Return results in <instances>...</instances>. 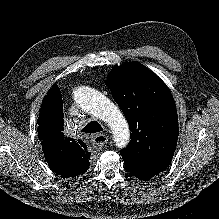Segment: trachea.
I'll return each mask as SVG.
<instances>
[{
    "mask_svg": "<svg viewBox=\"0 0 219 219\" xmlns=\"http://www.w3.org/2000/svg\"><path fill=\"white\" fill-rule=\"evenodd\" d=\"M103 131L101 125L96 121L89 122L83 129L82 132L84 133H99Z\"/></svg>",
    "mask_w": 219,
    "mask_h": 219,
    "instance_id": "trachea-1",
    "label": "trachea"
}]
</instances>
